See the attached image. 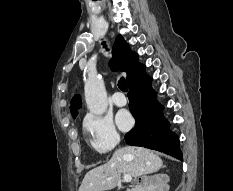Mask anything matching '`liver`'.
Masks as SVG:
<instances>
[{
    "label": "liver",
    "mask_w": 233,
    "mask_h": 191,
    "mask_svg": "<svg viewBox=\"0 0 233 191\" xmlns=\"http://www.w3.org/2000/svg\"><path fill=\"white\" fill-rule=\"evenodd\" d=\"M162 165V159L149 149L131 146L119 148L107 163L85 174L78 191L112 190L120 182L121 173L137 178L158 171Z\"/></svg>",
    "instance_id": "6515ba94"
}]
</instances>
